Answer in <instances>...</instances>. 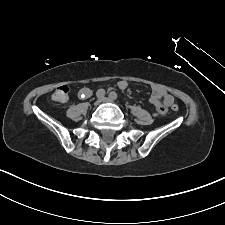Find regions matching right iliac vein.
<instances>
[{
  "label": "right iliac vein",
  "instance_id": "right-iliac-vein-1",
  "mask_svg": "<svg viewBox=\"0 0 225 225\" xmlns=\"http://www.w3.org/2000/svg\"><path fill=\"white\" fill-rule=\"evenodd\" d=\"M101 102H102V99H101V98H98V99L94 102V105H95V106H98Z\"/></svg>",
  "mask_w": 225,
  "mask_h": 225
}]
</instances>
